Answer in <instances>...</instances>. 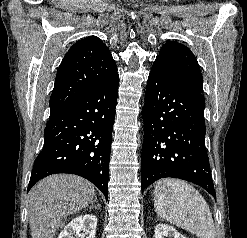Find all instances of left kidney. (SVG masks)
<instances>
[{
    "label": "left kidney",
    "instance_id": "left-kidney-1",
    "mask_svg": "<svg viewBox=\"0 0 247 238\" xmlns=\"http://www.w3.org/2000/svg\"><path fill=\"white\" fill-rule=\"evenodd\" d=\"M166 237L186 238L184 235L180 234L176 229H174L169 225H164V224L156 225L154 238H166Z\"/></svg>",
    "mask_w": 247,
    "mask_h": 238
}]
</instances>
